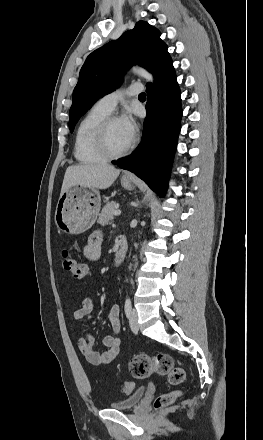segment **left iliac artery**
<instances>
[{
  "instance_id": "44dca946",
  "label": "left iliac artery",
  "mask_w": 263,
  "mask_h": 440,
  "mask_svg": "<svg viewBox=\"0 0 263 440\" xmlns=\"http://www.w3.org/2000/svg\"><path fill=\"white\" fill-rule=\"evenodd\" d=\"M124 311H125L126 317L129 318L131 311H132V305H131V301L129 298H126L125 305H124Z\"/></svg>"
}]
</instances>
